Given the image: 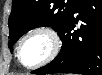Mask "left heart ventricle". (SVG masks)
<instances>
[{
  "label": "left heart ventricle",
  "instance_id": "b2bd125f",
  "mask_svg": "<svg viewBox=\"0 0 102 75\" xmlns=\"http://www.w3.org/2000/svg\"><path fill=\"white\" fill-rule=\"evenodd\" d=\"M51 47V40L46 34H33L22 46V60L25 64H30L33 60L44 59L51 51Z\"/></svg>",
  "mask_w": 102,
  "mask_h": 75
}]
</instances>
